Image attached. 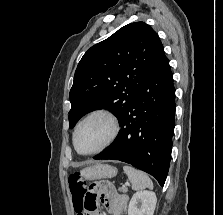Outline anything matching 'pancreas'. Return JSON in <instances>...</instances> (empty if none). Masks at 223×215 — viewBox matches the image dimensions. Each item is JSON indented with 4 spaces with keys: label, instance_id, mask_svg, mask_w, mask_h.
Returning a JSON list of instances; mask_svg holds the SVG:
<instances>
[{
    "label": "pancreas",
    "instance_id": "pancreas-1",
    "mask_svg": "<svg viewBox=\"0 0 223 215\" xmlns=\"http://www.w3.org/2000/svg\"><path fill=\"white\" fill-rule=\"evenodd\" d=\"M119 191H123V193H125V191H127V187H118Z\"/></svg>",
    "mask_w": 223,
    "mask_h": 215
}]
</instances>
